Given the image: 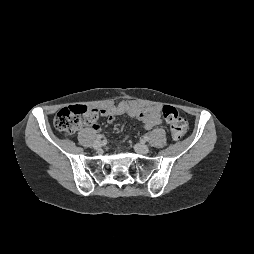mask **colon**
Returning a JSON list of instances; mask_svg holds the SVG:
<instances>
[{
	"instance_id": "1",
	"label": "colon",
	"mask_w": 254,
	"mask_h": 254,
	"mask_svg": "<svg viewBox=\"0 0 254 254\" xmlns=\"http://www.w3.org/2000/svg\"><path fill=\"white\" fill-rule=\"evenodd\" d=\"M162 115L175 140L182 138L188 130V124L182 114L173 106L164 105ZM99 117L97 110L85 105H74L61 109L54 118L55 127L66 135L74 134L82 125L92 124Z\"/></svg>"
}]
</instances>
